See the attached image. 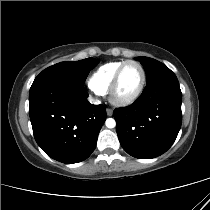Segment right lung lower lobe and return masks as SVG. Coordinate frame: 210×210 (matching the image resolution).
I'll return each instance as SVG.
<instances>
[{
	"mask_svg": "<svg viewBox=\"0 0 210 210\" xmlns=\"http://www.w3.org/2000/svg\"><path fill=\"white\" fill-rule=\"evenodd\" d=\"M84 85L64 80L33 82L29 114L37 144L51 158L72 164L94 151L106 120L103 105L87 101Z\"/></svg>",
	"mask_w": 210,
	"mask_h": 210,
	"instance_id": "obj_1",
	"label": "right lung lower lobe"
}]
</instances>
